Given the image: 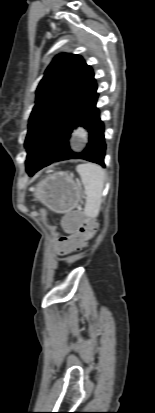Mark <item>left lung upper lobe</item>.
Masks as SVG:
<instances>
[{
    "label": "left lung upper lobe",
    "mask_w": 155,
    "mask_h": 413,
    "mask_svg": "<svg viewBox=\"0 0 155 413\" xmlns=\"http://www.w3.org/2000/svg\"><path fill=\"white\" fill-rule=\"evenodd\" d=\"M96 90L93 70L81 56L63 53L54 58L38 85L29 118L25 140L27 172L59 150L57 137L64 131L73 132Z\"/></svg>",
    "instance_id": "left-lung-upper-lobe-1"
}]
</instances>
